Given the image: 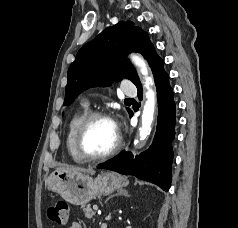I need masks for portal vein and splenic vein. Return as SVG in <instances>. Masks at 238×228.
Returning <instances> with one entry per match:
<instances>
[{
    "label": "portal vein and splenic vein",
    "instance_id": "obj_1",
    "mask_svg": "<svg viewBox=\"0 0 238 228\" xmlns=\"http://www.w3.org/2000/svg\"><path fill=\"white\" fill-rule=\"evenodd\" d=\"M93 209H94L95 211H97V210H98V206H97V205H94V206H93Z\"/></svg>",
    "mask_w": 238,
    "mask_h": 228
}]
</instances>
